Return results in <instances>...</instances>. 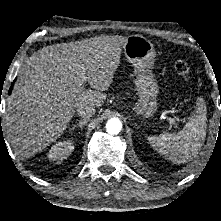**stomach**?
Listing matches in <instances>:
<instances>
[{
  "label": "stomach",
  "mask_w": 221,
  "mask_h": 221,
  "mask_svg": "<svg viewBox=\"0 0 221 221\" xmlns=\"http://www.w3.org/2000/svg\"><path fill=\"white\" fill-rule=\"evenodd\" d=\"M127 60L138 72L135 87L139 97L134 111L141 118H151L158 108V83L152 73L155 62L154 45L142 35H131L123 46Z\"/></svg>",
  "instance_id": "obj_1"
}]
</instances>
